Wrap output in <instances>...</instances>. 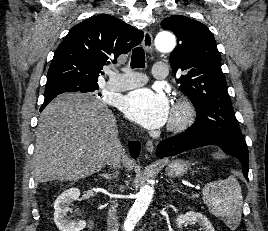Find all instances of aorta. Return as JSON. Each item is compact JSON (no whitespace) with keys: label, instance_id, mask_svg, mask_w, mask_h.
<instances>
[{"label":"aorta","instance_id":"1","mask_svg":"<svg viewBox=\"0 0 268 231\" xmlns=\"http://www.w3.org/2000/svg\"><path fill=\"white\" fill-rule=\"evenodd\" d=\"M156 48L160 52H169L176 45L175 37L171 33L161 32L155 39ZM154 189L149 184L143 185L136 194V200L129 210L124 222V230L132 231L138 221L145 214L153 197Z\"/></svg>","mask_w":268,"mask_h":231}]
</instances>
